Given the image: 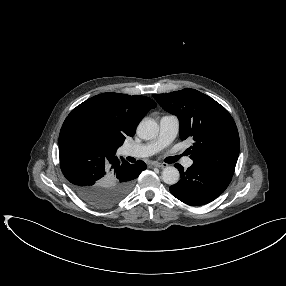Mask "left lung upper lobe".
<instances>
[{
    "mask_svg": "<svg viewBox=\"0 0 286 286\" xmlns=\"http://www.w3.org/2000/svg\"><path fill=\"white\" fill-rule=\"evenodd\" d=\"M153 97L164 110L178 117L180 138L194 140L188 149L193 165L233 175L240 149L239 134L222 105L190 88Z\"/></svg>",
    "mask_w": 286,
    "mask_h": 286,
    "instance_id": "obj_1",
    "label": "left lung upper lobe"
}]
</instances>
